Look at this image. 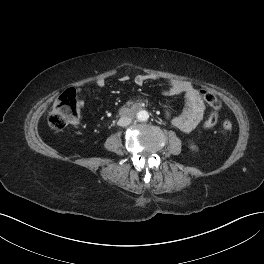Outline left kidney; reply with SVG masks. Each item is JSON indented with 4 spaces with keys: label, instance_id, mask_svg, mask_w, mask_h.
Segmentation results:
<instances>
[{
    "label": "left kidney",
    "instance_id": "5707ae66",
    "mask_svg": "<svg viewBox=\"0 0 264 264\" xmlns=\"http://www.w3.org/2000/svg\"><path fill=\"white\" fill-rule=\"evenodd\" d=\"M191 149H193V150H194V149H195V146H193V145H192V146H191Z\"/></svg>",
    "mask_w": 264,
    "mask_h": 264
}]
</instances>
